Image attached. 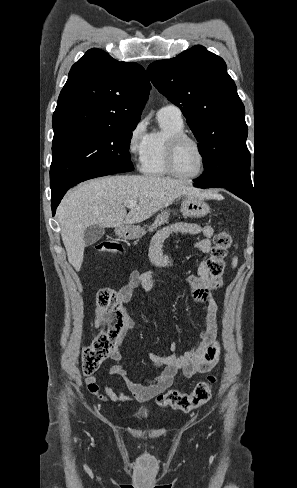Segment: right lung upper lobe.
I'll list each match as a JSON object with an SVG mask.
<instances>
[{
    "mask_svg": "<svg viewBox=\"0 0 297 488\" xmlns=\"http://www.w3.org/2000/svg\"><path fill=\"white\" fill-rule=\"evenodd\" d=\"M144 68L88 50L71 68L53 114L54 135L76 129L136 126L148 99Z\"/></svg>",
    "mask_w": 297,
    "mask_h": 488,
    "instance_id": "obj_1",
    "label": "right lung upper lobe"
}]
</instances>
